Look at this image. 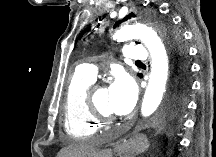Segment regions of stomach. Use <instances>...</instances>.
Listing matches in <instances>:
<instances>
[{
	"instance_id": "obj_1",
	"label": "stomach",
	"mask_w": 216,
	"mask_h": 157,
	"mask_svg": "<svg viewBox=\"0 0 216 157\" xmlns=\"http://www.w3.org/2000/svg\"><path fill=\"white\" fill-rule=\"evenodd\" d=\"M149 146V142L145 135L134 134L121 144L122 150L128 155H138L144 152Z\"/></svg>"
}]
</instances>
